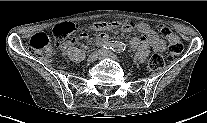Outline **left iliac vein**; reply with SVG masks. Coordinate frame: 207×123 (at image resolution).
Wrapping results in <instances>:
<instances>
[{
    "label": "left iliac vein",
    "instance_id": "4c4485c4",
    "mask_svg": "<svg viewBox=\"0 0 207 123\" xmlns=\"http://www.w3.org/2000/svg\"><path fill=\"white\" fill-rule=\"evenodd\" d=\"M102 58H111L114 60H119V58L115 54H113L111 51H103Z\"/></svg>",
    "mask_w": 207,
    "mask_h": 123
}]
</instances>
